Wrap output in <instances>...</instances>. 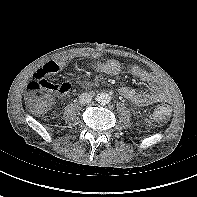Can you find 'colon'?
<instances>
[{"label":"colon","mask_w":197,"mask_h":197,"mask_svg":"<svg viewBox=\"0 0 197 197\" xmlns=\"http://www.w3.org/2000/svg\"><path fill=\"white\" fill-rule=\"evenodd\" d=\"M29 106L37 113L46 111L51 103V93L66 94L70 89L68 83H52L44 77L34 78L28 85ZM171 107L167 104L157 106L153 111V118L158 121H165L171 115Z\"/></svg>","instance_id":"5ec220e1"}]
</instances>
